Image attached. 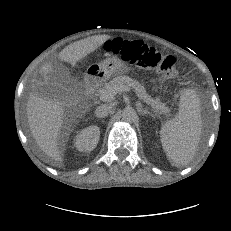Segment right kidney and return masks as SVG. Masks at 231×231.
Instances as JSON below:
<instances>
[{
    "label": "right kidney",
    "mask_w": 231,
    "mask_h": 231,
    "mask_svg": "<svg viewBox=\"0 0 231 231\" xmlns=\"http://www.w3.org/2000/svg\"><path fill=\"white\" fill-rule=\"evenodd\" d=\"M100 137V129L96 125L82 129L74 139V146L81 152H90L96 148Z\"/></svg>",
    "instance_id": "ca27d5eb"
}]
</instances>
